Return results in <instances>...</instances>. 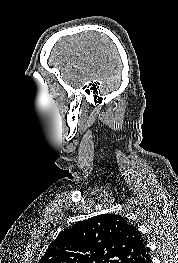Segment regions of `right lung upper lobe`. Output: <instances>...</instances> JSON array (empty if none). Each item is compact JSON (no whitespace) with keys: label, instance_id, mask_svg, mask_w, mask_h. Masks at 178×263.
Masks as SVG:
<instances>
[{"label":"right lung upper lobe","instance_id":"obj_1","mask_svg":"<svg viewBox=\"0 0 178 263\" xmlns=\"http://www.w3.org/2000/svg\"><path fill=\"white\" fill-rule=\"evenodd\" d=\"M148 256L136 226L120 215L102 214L62 231L39 263H143Z\"/></svg>","mask_w":178,"mask_h":263}]
</instances>
